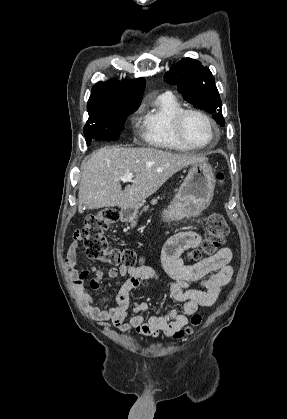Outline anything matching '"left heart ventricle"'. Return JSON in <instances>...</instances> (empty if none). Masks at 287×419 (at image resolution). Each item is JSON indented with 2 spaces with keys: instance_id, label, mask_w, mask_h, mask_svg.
Returning <instances> with one entry per match:
<instances>
[{
  "instance_id": "1",
  "label": "left heart ventricle",
  "mask_w": 287,
  "mask_h": 419,
  "mask_svg": "<svg viewBox=\"0 0 287 419\" xmlns=\"http://www.w3.org/2000/svg\"><path fill=\"white\" fill-rule=\"evenodd\" d=\"M185 137L194 144H204L211 139V131L207 123L197 115H188L183 123Z\"/></svg>"
}]
</instances>
